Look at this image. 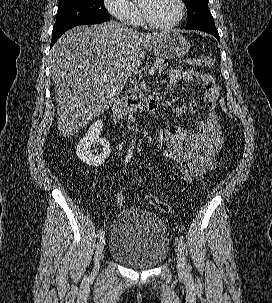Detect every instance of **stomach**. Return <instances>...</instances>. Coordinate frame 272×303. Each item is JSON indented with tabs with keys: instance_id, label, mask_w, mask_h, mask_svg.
I'll return each mask as SVG.
<instances>
[{
	"instance_id": "0dacf381",
	"label": "stomach",
	"mask_w": 272,
	"mask_h": 303,
	"mask_svg": "<svg viewBox=\"0 0 272 303\" xmlns=\"http://www.w3.org/2000/svg\"><path fill=\"white\" fill-rule=\"evenodd\" d=\"M190 49V43L175 31L167 32L165 37L153 48L154 54L161 59L184 57Z\"/></svg>"
}]
</instances>
